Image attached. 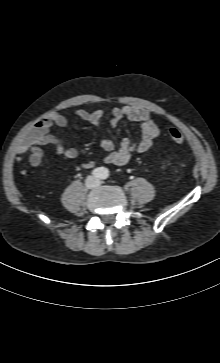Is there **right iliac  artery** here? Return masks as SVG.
I'll return each mask as SVG.
<instances>
[{"mask_svg":"<svg viewBox=\"0 0 220 363\" xmlns=\"http://www.w3.org/2000/svg\"><path fill=\"white\" fill-rule=\"evenodd\" d=\"M102 171L103 169L101 168H96L92 171V174L95 176V177H98L100 178L102 176Z\"/></svg>","mask_w":220,"mask_h":363,"instance_id":"right-iliac-artery-1","label":"right iliac artery"}]
</instances>
